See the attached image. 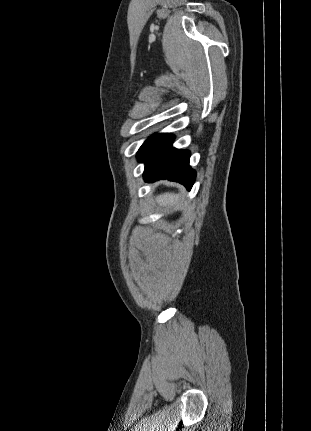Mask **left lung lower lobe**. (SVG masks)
Masks as SVG:
<instances>
[{
  "instance_id": "0a47b994",
  "label": "left lung lower lobe",
  "mask_w": 311,
  "mask_h": 431,
  "mask_svg": "<svg viewBox=\"0 0 311 431\" xmlns=\"http://www.w3.org/2000/svg\"><path fill=\"white\" fill-rule=\"evenodd\" d=\"M173 140L171 134L151 136L140 147L137 159L145 163V181L169 179L190 190L196 179V172L189 166L190 152L172 147Z\"/></svg>"
}]
</instances>
